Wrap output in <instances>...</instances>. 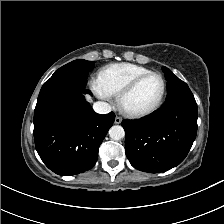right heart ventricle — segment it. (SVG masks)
<instances>
[{
	"label": "right heart ventricle",
	"mask_w": 224,
	"mask_h": 224,
	"mask_svg": "<svg viewBox=\"0 0 224 224\" xmlns=\"http://www.w3.org/2000/svg\"><path fill=\"white\" fill-rule=\"evenodd\" d=\"M149 72L152 71L136 64L117 63L103 68L98 79L106 92L110 95H117L131 80Z\"/></svg>",
	"instance_id": "obj_1"
}]
</instances>
